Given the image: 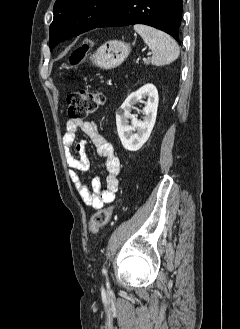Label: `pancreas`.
Instances as JSON below:
<instances>
[{"label":"pancreas","instance_id":"obj_1","mask_svg":"<svg viewBox=\"0 0 240 329\" xmlns=\"http://www.w3.org/2000/svg\"><path fill=\"white\" fill-rule=\"evenodd\" d=\"M145 63H146V64H148V63H149V61L147 60Z\"/></svg>","mask_w":240,"mask_h":329}]
</instances>
